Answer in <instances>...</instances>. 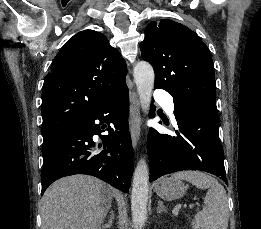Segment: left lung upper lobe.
I'll list each match as a JSON object with an SVG mask.
<instances>
[{
    "label": "left lung upper lobe",
    "instance_id": "1",
    "mask_svg": "<svg viewBox=\"0 0 261 229\" xmlns=\"http://www.w3.org/2000/svg\"><path fill=\"white\" fill-rule=\"evenodd\" d=\"M140 49L154 68L155 88L166 90L173 101L217 109L212 57L195 32L171 20L153 21L145 29Z\"/></svg>",
    "mask_w": 261,
    "mask_h": 229
}]
</instances>
